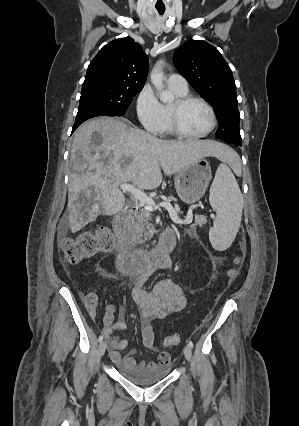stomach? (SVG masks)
I'll return each instance as SVG.
<instances>
[{
	"mask_svg": "<svg viewBox=\"0 0 299 426\" xmlns=\"http://www.w3.org/2000/svg\"><path fill=\"white\" fill-rule=\"evenodd\" d=\"M212 172L209 162L203 157L176 173L174 182L179 198L192 204L205 194Z\"/></svg>",
	"mask_w": 299,
	"mask_h": 426,
	"instance_id": "obj_1",
	"label": "stomach"
}]
</instances>
